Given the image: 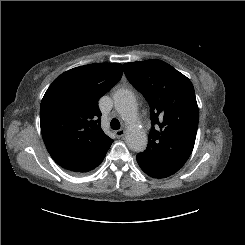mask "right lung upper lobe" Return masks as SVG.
Wrapping results in <instances>:
<instances>
[{
  "instance_id": "obj_1",
  "label": "right lung upper lobe",
  "mask_w": 245,
  "mask_h": 245,
  "mask_svg": "<svg viewBox=\"0 0 245 245\" xmlns=\"http://www.w3.org/2000/svg\"><path fill=\"white\" fill-rule=\"evenodd\" d=\"M122 72L119 63L90 64L64 72L49 86L40 106V126L59 166L76 173L112 144L101 129L98 100Z\"/></svg>"
}]
</instances>
